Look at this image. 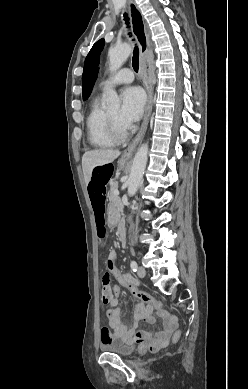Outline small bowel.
<instances>
[{
    "label": "small bowel",
    "instance_id": "obj_1",
    "mask_svg": "<svg viewBox=\"0 0 248 389\" xmlns=\"http://www.w3.org/2000/svg\"><path fill=\"white\" fill-rule=\"evenodd\" d=\"M109 258L113 262L116 258V253L112 251ZM121 274H123L128 281H132L133 284H136L138 288V280L128 273L122 272ZM106 303L110 306L107 311V318L112 331L107 327H103L101 329V343L111 341L113 337H116L124 341L139 343L145 348L154 350L164 346L168 342L177 326L176 319L170 313L166 311H159L157 316L162 319L161 327L152 332L143 331L138 328L141 321H146L151 324L156 322L155 317L152 315V308L145 306L142 303L135 304L131 322L129 324H125L122 320V311L117 307L119 298L113 297L112 289L111 298Z\"/></svg>",
    "mask_w": 248,
    "mask_h": 389
}]
</instances>
